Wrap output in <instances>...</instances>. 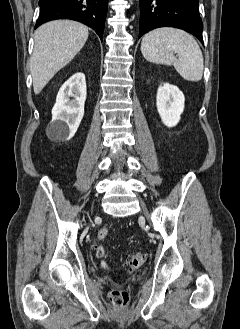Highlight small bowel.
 Masks as SVG:
<instances>
[{
	"instance_id": "obj_1",
	"label": "small bowel",
	"mask_w": 240,
	"mask_h": 329,
	"mask_svg": "<svg viewBox=\"0 0 240 329\" xmlns=\"http://www.w3.org/2000/svg\"><path fill=\"white\" fill-rule=\"evenodd\" d=\"M102 266L104 267V268H107L108 266H107V263L106 262H104V261H102Z\"/></svg>"
}]
</instances>
